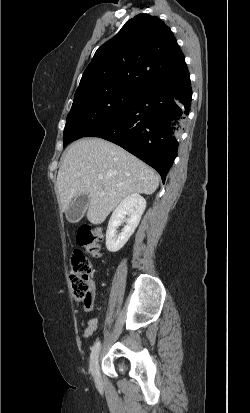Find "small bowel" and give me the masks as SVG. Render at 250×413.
<instances>
[{
    "mask_svg": "<svg viewBox=\"0 0 250 413\" xmlns=\"http://www.w3.org/2000/svg\"><path fill=\"white\" fill-rule=\"evenodd\" d=\"M91 307L92 306H85L84 309H85L86 312H88V311L91 310ZM97 325H98V321L96 319H94V318L88 319L87 322H86V328L83 332V337L84 338L90 337L93 334V332L96 330Z\"/></svg>",
    "mask_w": 250,
    "mask_h": 413,
    "instance_id": "1",
    "label": "small bowel"
}]
</instances>
